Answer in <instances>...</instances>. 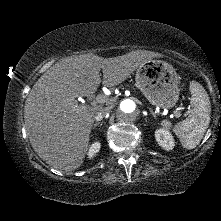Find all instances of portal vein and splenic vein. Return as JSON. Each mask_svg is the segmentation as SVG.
Returning a JSON list of instances; mask_svg holds the SVG:
<instances>
[{
	"instance_id": "18ae733b",
	"label": "portal vein and splenic vein",
	"mask_w": 221,
	"mask_h": 221,
	"mask_svg": "<svg viewBox=\"0 0 221 221\" xmlns=\"http://www.w3.org/2000/svg\"><path fill=\"white\" fill-rule=\"evenodd\" d=\"M96 102H97V103H105V102H108V97H107L106 95H104V94H99V95L96 97ZM174 114H175V116H177V117L182 116V114H181L179 111H177V110L174 111Z\"/></svg>"
}]
</instances>
